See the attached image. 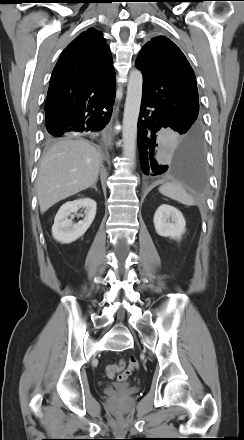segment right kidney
<instances>
[{"label": "right kidney", "instance_id": "1", "mask_svg": "<svg viewBox=\"0 0 244 440\" xmlns=\"http://www.w3.org/2000/svg\"><path fill=\"white\" fill-rule=\"evenodd\" d=\"M96 207V202L90 198H81L63 204L54 219L53 238L60 243L69 244L83 236L95 218ZM81 208L85 209L83 220L73 223L72 219H68L72 213L78 212Z\"/></svg>", "mask_w": 244, "mask_h": 440}]
</instances>
